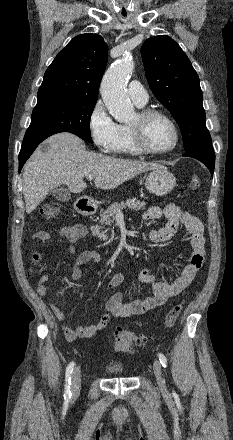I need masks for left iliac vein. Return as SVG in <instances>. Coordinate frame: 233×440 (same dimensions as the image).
I'll list each match as a JSON object with an SVG mask.
<instances>
[{
	"label": "left iliac vein",
	"mask_w": 233,
	"mask_h": 440,
	"mask_svg": "<svg viewBox=\"0 0 233 440\" xmlns=\"http://www.w3.org/2000/svg\"><path fill=\"white\" fill-rule=\"evenodd\" d=\"M153 370H154V374L157 380V383L161 389V391H166V384L165 381L162 377V367L161 364L158 360H155L153 363Z\"/></svg>",
	"instance_id": "1"
}]
</instances>
